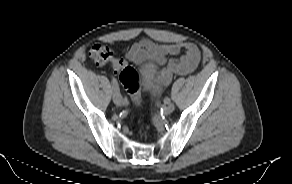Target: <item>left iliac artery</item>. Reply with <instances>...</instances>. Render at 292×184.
<instances>
[{
    "instance_id": "44dca946",
    "label": "left iliac artery",
    "mask_w": 292,
    "mask_h": 184,
    "mask_svg": "<svg viewBox=\"0 0 292 184\" xmlns=\"http://www.w3.org/2000/svg\"><path fill=\"white\" fill-rule=\"evenodd\" d=\"M164 103H165V104H169V103H170V99H169L168 97H166V98L164 99Z\"/></svg>"
}]
</instances>
